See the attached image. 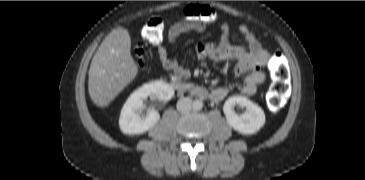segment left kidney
Returning <instances> with one entry per match:
<instances>
[{"instance_id":"1","label":"left kidney","mask_w":365,"mask_h":180,"mask_svg":"<svg viewBox=\"0 0 365 180\" xmlns=\"http://www.w3.org/2000/svg\"><path fill=\"white\" fill-rule=\"evenodd\" d=\"M239 105L246 108V112L238 115L234 107ZM223 111L228 124L239 133L249 135L258 132L265 124L264 111L244 96H233L226 100Z\"/></svg>"}]
</instances>
